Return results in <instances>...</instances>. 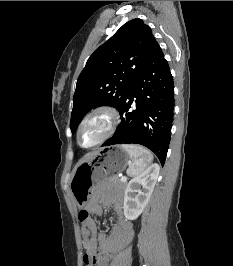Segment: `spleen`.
Returning <instances> with one entry per match:
<instances>
[{
	"label": "spleen",
	"instance_id": "obj_1",
	"mask_svg": "<svg viewBox=\"0 0 233 266\" xmlns=\"http://www.w3.org/2000/svg\"><path fill=\"white\" fill-rule=\"evenodd\" d=\"M122 147L130 156L129 168L127 174L130 177L140 175L147 166L153 161V155L150 151L139 145L123 144Z\"/></svg>",
	"mask_w": 233,
	"mask_h": 266
}]
</instances>
